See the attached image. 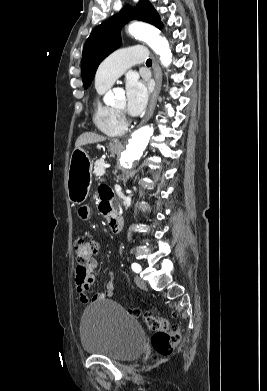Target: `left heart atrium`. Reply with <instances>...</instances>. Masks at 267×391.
Segmentation results:
<instances>
[{
	"label": "left heart atrium",
	"mask_w": 267,
	"mask_h": 391,
	"mask_svg": "<svg viewBox=\"0 0 267 391\" xmlns=\"http://www.w3.org/2000/svg\"><path fill=\"white\" fill-rule=\"evenodd\" d=\"M147 100V85L135 76L129 77L126 81V108L128 113L133 116L140 114L144 110Z\"/></svg>",
	"instance_id": "left-heart-atrium-1"
}]
</instances>
